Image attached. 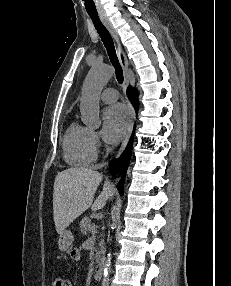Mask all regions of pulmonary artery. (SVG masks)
I'll list each match as a JSON object with an SVG mask.
<instances>
[{"label": "pulmonary artery", "instance_id": "e3ab8cb5", "mask_svg": "<svg viewBox=\"0 0 231 286\" xmlns=\"http://www.w3.org/2000/svg\"><path fill=\"white\" fill-rule=\"evenodd\" d=\"M119 98V93L115 88H106L101 93V100L105 103H113Z\"/></svg>", "mask_w": 231, "mask_h": 286}]
</instances>
